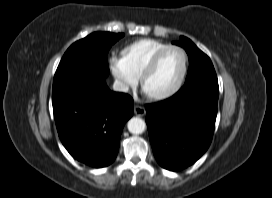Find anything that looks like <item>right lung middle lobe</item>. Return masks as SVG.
<instances>
[{
    "mask_svg": "<svg viewBox=\"0 0 272 198\" xmlns=\"http://www.w3.org/2000/svg\"><path fill=\"white\" fill-rule=\"evenodd\" d=\"M123 36V33L95 32L72 44L59 63L53 86L80 74L108 76V51Z\"/></svg>",
    "mask_w": 272,
    "mask_h": 198,
    "instance_id": "1",
    "label": "right lung middle lobe"
}]
</instances>
